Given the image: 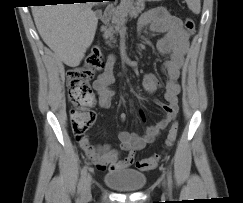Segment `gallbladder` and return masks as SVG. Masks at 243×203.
I'll use <instances>...</instances> for the list:
<instances>
[{
  "instance_id": "gallbladder-1",
  "label": "gallbladder",
  "mask_w": 243,
  "mask_h": 203,
  "mask_svg": "<svg viewBox=\"0 0 243 203\" xmlns=\"http://www.w3.org/2000/svg\"><path fill=\"white\" fill-rule=\"evenodd\" d=\"M95 15H96L97 18H100L101 17V12L100 11H96Z\"/></svg>"
}]
</instances>
